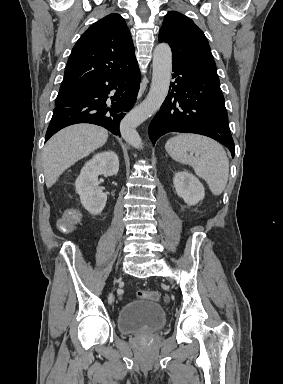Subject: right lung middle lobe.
<instances>
[{
  "instance_id": "1",
  "label": "right lung middle lobe",
  "mask_w": 283,
  "mask_h": 384,
  "mask_svg": "<svg viewBox=\"0 0 283 384\" xmlns=\"http://www.w3.org/2000/svg\"><path fill=\"white\" fill-rule=\"evenodd\" d=\"M74 95L72 91H60L56 98V105H59L67 100H69Z\"/></svg>"
}]
</instances>
